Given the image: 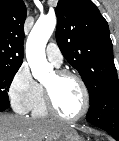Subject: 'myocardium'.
<instances>
[{
  "mask_svg": "<svg viewBox=\"0 0 119 141\" xmlns=\"http://www.w3.org/2000/svg\"><path fill=\"white\" fill-rule=\"evenodd\" d=\"M54 73L58 78L71 77L77 81L83 93V106L81 111L75 116L69 117L61 114L54 104L50 90L43 85L44 103L48 113L63 121L74 122L82 119L87 114L90 107V94L85 82L78 74L66 69H58Z\"/></svg>",
  "mask_w": 119,
  "mask_h": 141,
  "instance_id": "f54148a6",
  "label": "myocardium"
}]
</instances>
